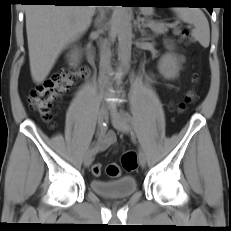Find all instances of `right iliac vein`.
Listing matches in <instances>:
<instances>
[{
  "instance_id": "63e3f726",
  "label": "right iliac vein",
  "mask_w": 231,
  "mask_h": 231,
  "mask_svg": "<svg viewBox=\"0 0 231 231\" xmlns=\"http://www.w3.org/2000/svg\"><path fill=\"white\" fill-rule=\"evenodd\" d=\"M108 112V106L105 103H102L99 109V114H98V125L99 127L102 126V124L104 123L105 117L107 115ZM93 161V154L91 152V150H88L83 158V163L85 167H89L91 165Z\"/></svg>"
}]
</instances>
